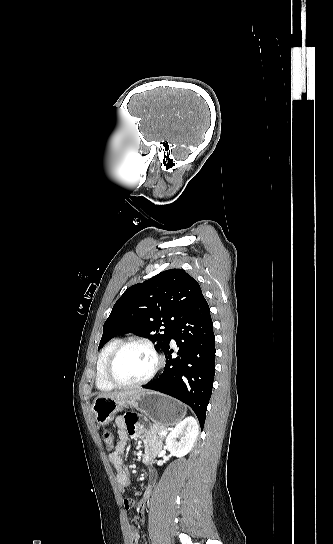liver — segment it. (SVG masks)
Returning a JSON list of instances; mask_svg holds the SVG:
<instances>
[{"label":"liver","instance_id":"1","mask_svg":"<svg viewBox=\"0 0 333 544\" xmlns=\"http://www.w3.org/2000/svg\"><path fill=\"white\" fill-rule=\"evenodd\" d=\"M144 392V390H129L124 392H112L99 395V398H125Z\"/></svg>","mask_w":333,"mask_h":544}]
</instances>
